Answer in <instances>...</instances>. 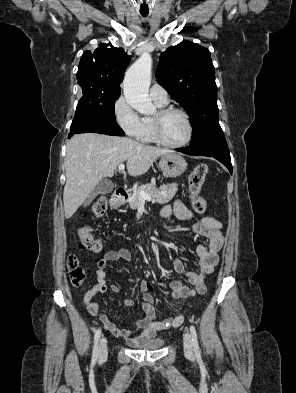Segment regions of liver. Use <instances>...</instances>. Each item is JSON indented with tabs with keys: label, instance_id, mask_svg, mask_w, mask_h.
<instances>
[{
	"label": "liver",
	"instance_id": "6515ba94",
	"mask_svg": "<svg viewBox=\"0 0 296 393\" xmlns=\"http://www.w3.org/2000/svg\"><path fill=\"white\" fill-rule=\"evenodd\" d=\"M171 150L140 144L127 137L85 133L67 143L63 192L65 218L68 219L105 177H112L118 165L126 161L128 173L138 177Z\"/></svg>",
	"mask_w": 296,
	"mask_h": 393
}]
</instances>
